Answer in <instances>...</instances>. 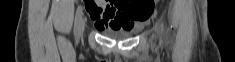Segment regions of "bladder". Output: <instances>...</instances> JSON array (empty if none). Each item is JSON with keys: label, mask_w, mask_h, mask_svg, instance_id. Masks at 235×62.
Returning a JSON list of instances; mask_svg holds the SVG:
<instances>
[{"label": "bladder", "mask_w": 235, "mask_h": 62, "mask_svg": "<svg viewBox=\"0 0 235 62\" xmlns=\"http://www.w3.org/2000/svg\"><path fill=\"white\" fill-rule=\"evenodd\" d=\"M107 34L111 37L115 38H125L130 35V32L128 31H121V30H108Z\"/></svg>", "instance_id": "bladder-1"}]
</instances>
